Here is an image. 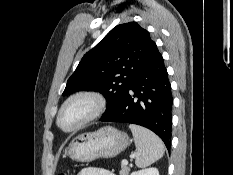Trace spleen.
Listing matches in <instances>:
<instances>
[{
	"label": "spleen",
	"instance_id": "spleen-1",
	"mask_svg": "<svg viewBox=\"0 0 233 175\" xmlns=\"http://www.w3.org/2000/svg\"><path fill=\"white\" fill-rule=\"evenodd\" d=\"M129 128L136 145L135 163L137 167L149 166L163 156L165 146L156 134L135 124H130Z\"/></svg>",
	"mask_w": 233,
	"mask_h": 175
}]
</instances>
